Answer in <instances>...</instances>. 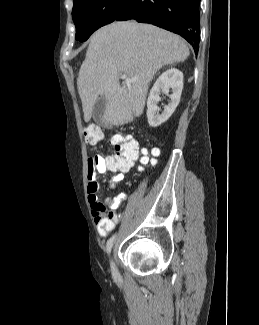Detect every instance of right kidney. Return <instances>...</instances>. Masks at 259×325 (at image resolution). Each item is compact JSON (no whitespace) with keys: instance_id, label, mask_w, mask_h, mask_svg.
I'll return each mask as SVG.
<instances>
[{"instance_id":"obj_1","label":"right kidney","mask_w":259,"mask_h":325,"mask_svg":"<svg viewBox=\"0 0 259 325\" xmlns=\"http://www.w3.org/2000/svg\"><path fill=\"white\" fill-rule=\"evenodd\" d=\"M172 89L170 95L171 102L164 106V110L159 114L158 102L161 100L160 92L168 95L169 90ZM183 89V73L176 68H170L163 72L154 83L150 90L147 100V119L151 127H158L168 120L173 114L180 102V97Z\"/></svg>"}]
</instances>
